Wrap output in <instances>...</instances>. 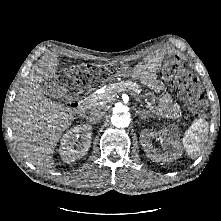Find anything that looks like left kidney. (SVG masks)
Returning <instances> with one entry per match:
<instances>
[{
    "instance_id": "obj_1",
    "label": "left kidney",
    "mask_w": 221,
    "mask_h": 221,
    "mask_svg": "<svg viewBox=\"0 0 221 221\" xmlns=\"http://www.w3.org/2000/svg\"><path fill=\"white\" fill-rule=\"evenodd\" d=\"M151 137H155L156 140H159L164 148L172 147V149L166 151L165 153H160V151L157 149H153L152 142L150 141ZM140 138L141 144L145 149L147 157L153 161L162 162V164L169 163L173 159H176L177 156L181 155L179 152H177V150H179V141L175 138V136L171 135V132L166 128L159 132H142Z\"/></svg>"
}]
</instances>
